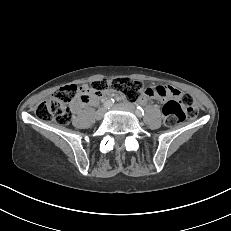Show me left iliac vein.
Instances as JSON below:
<instances>
[{
    "instance_id": "obj_1",
    "label": "left iliac vein",
    "mask_w": 231,
    "mask_h": 231,
    "mask_svg": "<svg viewBox=\"0 0 231 231\" xmlns=\"http://www.w3.org/2000/svg\"><path fill=\"white\" fill-rule=\"evenodd\" d=\"M116 107L126 109V110H129L131 112L135 111V106L131 103L118 104V105H116Z\"/></svg>"
}]
</instances>
